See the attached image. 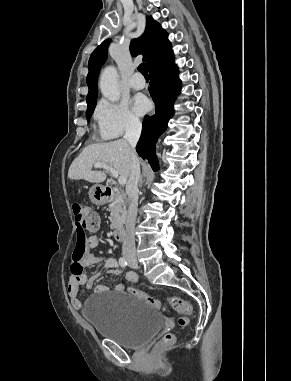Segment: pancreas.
<instances>
[{"mask_svg":"<svg viewBox=\"0 0 291 381\" xmlns=\"http://www.w3.org/2000/svg\"><path fill=\"white\" fill-rule=\"evenodd\" d=\"M111 229H116L125 222L126 218V205L123 198L119 195L116 196L114 201L109 205Z\"/></svg>","mask_w":291,"mask_h":381,"instance_id":"obj_1","label":"pancreas"}]
</instances>
